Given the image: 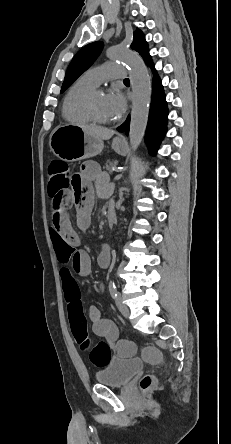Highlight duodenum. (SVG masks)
<instances>
[{
	"label": "duodenum",
	"mask_w": 231,
	"mask_h": 444,
	"mask_svg": "<svg viewBox=\"0 0 231 444\" xmlns=\"http://www.w3.org/2000/svg\"><path fill=\"white\" fill-rule=\"evenodd\" d=\"M116 217H117L116 211H115L114 207L111 206L107 212L109 229H112L114 227L115 222H116Z\"/></svg>",
	"instance_id": "obj_1"
}]
</instances>
